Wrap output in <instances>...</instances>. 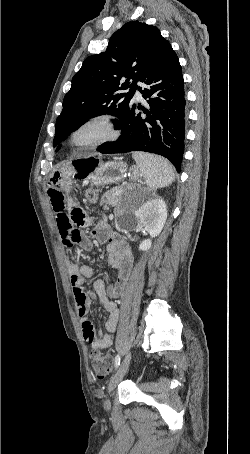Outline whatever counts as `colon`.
<instances>
[{"label":"colon","mask_w":250,"mask_h":454,"mask_svg":"<svg viewBox=\"0 0 250 454\" xmlns=\"http://www.w3.org/2000/svg\"><path fill=\"white\" fill-rule=\"evenodd\" d=\"M84 197L88 203H95L98 198V191L94 187H88L85 189ZM90 359L93 370L99 378H105L111 374L112 363L109 356L98 350H93L90 353Z\"/></svg>","instance_id":"1"}]
</instances>
